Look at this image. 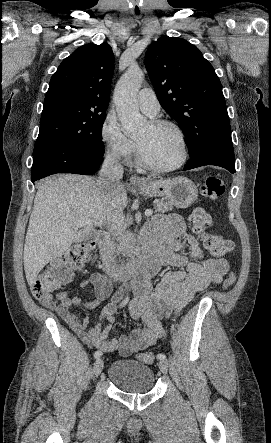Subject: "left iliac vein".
<instances>
[{"label": "left iliac vein", "instance_id": "4c4485c4", "mask_svg": "<svg viewBox=\"0 0 271 443\" xmlns=\"http://www.w3.org/2000/svg\"><path fill=\"white\" fill-rule=\"evenodd\" d=\"M159 368L162 373H167L168 371V363L166 360H160L159 362Z\"/></svg>", "mask_w": 271, "mask_h": 443}]
</instances>
